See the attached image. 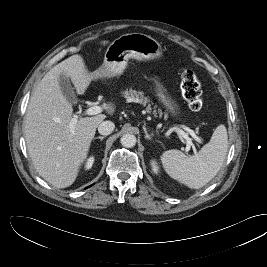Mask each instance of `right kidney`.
Returning <instances> with one entry per match:
<instances>
[{
  "instance_id": "obj_1",
  "label": "right kidney",
  "mask_w": 267,
  "mask_h": 267,
  "mask_svg": "<svg viewBox=\"0 0 267 267\" xmlns=\"http://www.w3.org/2000/svg\"><path fill=\"white\" fill-rule=\"evenodd\" d=\"M94 163V157H90L86 163V169H90Z\"/></svg>"
}]
</instances>
